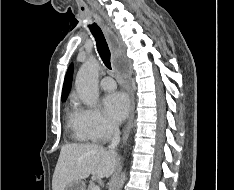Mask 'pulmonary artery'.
<instances>
[{"label":"pulmonary artery","instance_id":"pulmonary-artery-1","mask_svg":"<svg viewBox=\"0 0 234 190\" xmlns=\"http://www.w3.org/2000/svg\"><path fill=\"white\" fill-rule=\"evenodd\" d=\"M100 86L105 91H112L116 88V83L110 76H105L100 81Z\"/></svg>","mask_w":234,"mask_h":190}]
</instances>
